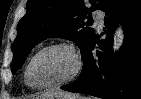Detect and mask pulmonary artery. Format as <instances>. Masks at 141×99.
Wrapping results in <instances>:
<instances>
[{
    "instance_id": "1",
    "label": "pulmonary artery",
    "mask_w": 141,
    "mask_h": 99,
    "mask_svg": "<svg viewBox=\"0 0 141 99\" xmlns=\"http://www.w3.org/2000/svg\"><path fill=\"white\" fill-rule=\"evenodd\" d=\"M94 19H95V21L97 23L98 29L101 30L102 27H103V19H104L103 13L100 12V11H96L94 13Z\"/></svg>"
}]
</instances>
